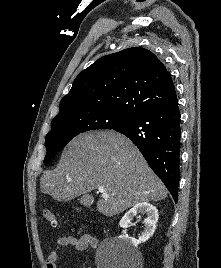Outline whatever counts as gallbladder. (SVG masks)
Wrapping results in <instances>:
<instances>
[{
	"label": "gallbladder",
	"mask_w": 221,
	"mask_h": 268,
	"mask_svg": "<svg viewBox=\"0 0 221 268\" xmlns=\"http://www.w3.org/2000/svg\"><path fill=\"white\" fill-rule=\"evenodd\" d=\"M81 202L85 206H90L93 202V199L91 196L85 195L82 197Z\"/></svg>",
	"instance_id": "obj_1"
}]
</instances>
